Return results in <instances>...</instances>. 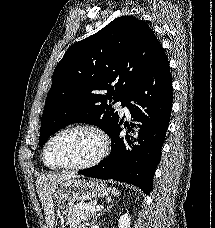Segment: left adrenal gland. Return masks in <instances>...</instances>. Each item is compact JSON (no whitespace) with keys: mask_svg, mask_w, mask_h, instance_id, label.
Segmentation results:
<instances>
[{"mask_svg":"<svg viewBox=\"0 0 215 228\" xmlns=\"http://www.w3.org/2000/svg\"><path fill=\"white\" fill-rule=\"evenodd\" d=\"M104 212H106V210H104ZM104 212H99V214H96V216H94L91 224H95L96 220H98V218H100V216H102V214H104Z\"/></svg>","mask_w":215,"mask_h":228,"instance_id":"left-adrenal-gland-1","label":"left adrenal gland"}]
</instances>
